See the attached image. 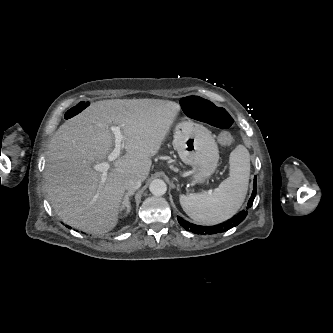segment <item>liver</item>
Masks as SVG:
<instances>
[{
    "label": "liver",
    "mask_w": 333,
    "mask_h": 333,
    "mask_svg": "<svg viewBox=\"0 0 333 333\" xmlns=\"http://www.w3.org/2000/svg\"><path fill=\"white\" fill-rule=\"evenodd\" d=\"M180 105L158 99H113L91 103L68 119L50 140L44 170L48 200L66 224L88 233L111 231L118 222L124 181H144ZM111 124L122 129L124 156L101 183L93 169L113 149Z\"/></svg>",
    "instance_id": "1"
}]
</instances>
